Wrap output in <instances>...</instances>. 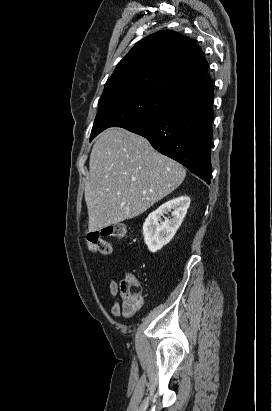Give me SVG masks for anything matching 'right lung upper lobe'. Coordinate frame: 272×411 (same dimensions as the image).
<instances>
[{"label":"right lung upper lobe","mask_w":272,"mask_h":411,"mask_svg":"<svg viewBox=\"0 0 272 411\" xmlns=\"http://www.w3.org/2000/svg\"><path fill=\"white\" fill-rule=\"evenodd\" d=\"M208 62L190 38L160 31L140 40L119 62L103 93L147 89L179 105L214 91Z\"/></svg>","instance_id":"cb5924a9"}]
</instances>
